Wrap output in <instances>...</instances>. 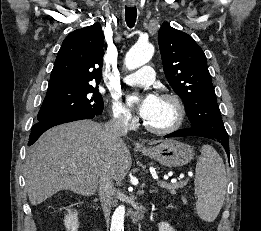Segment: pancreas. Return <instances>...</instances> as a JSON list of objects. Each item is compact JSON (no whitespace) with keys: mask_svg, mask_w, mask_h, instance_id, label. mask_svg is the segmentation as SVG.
<instances>
[{"mask_svg":"<svg viewBox=\"0 0 261 231\" xmlns=\"http://www.w3.org/2000/svg\"><path fill=\"white\" fill-rule=\"evenodd\" d=\"M187 183L179 184L178 186L174 185H160L164 190L168 191L170 194L175 195L178 188L184 187Z\"/></svg>","mask_w":261,"mask_h":231,"instance_id":"1","label":"pancreas"}]
</instances>
